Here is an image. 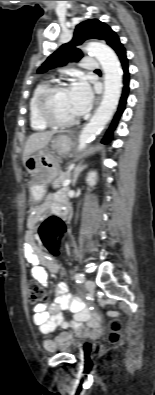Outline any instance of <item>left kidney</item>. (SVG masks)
I'll return each mask as SVG.
<instances>
[{"instance_id":"5707ae66","label":"left kidney","mask_w":155,"mask_h":395,"mask_svg":"<svg viewBox=\"0 0 155 395\" xmlns=\"http://www.w3.org/2000/svg\"><path fill=\"white\" fill-rule=\"evenodd\" d=\"M96 180H97V173L95 171H90L86 177L87 184L90 186H94L96 184Z\"/></svg>"}]
</instances>
